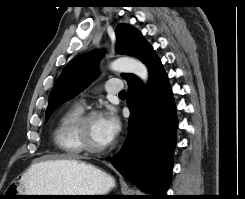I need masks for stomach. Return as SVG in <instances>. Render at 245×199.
<instances>
[{"mask_svg":"<svg viewBox=\"0 0 245 199\" xmlns=\"http://www.w3.org/2000/svg\"><path fill=\"white\" fill-rule=\"evenodd\" d=\"M115 186L113 178L99 168L82 162L66 163L43 178H22L9 186L14 195H104ZM25 198L27 196H18ZM81 197L44 196L37 199Z\"/></svg>","mask_w":245,"mask_h":199,"instance_id":"1","label":"stomach"}]
</instances>
